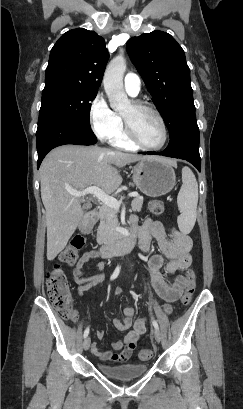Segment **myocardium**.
<instances>
[{"label":"myocardium","instance_id":"f54148a6","mask_svg":"<svg viewBox=\"0 0 243 409\" xmlns=\"http://www.w3.org/2000/svg\"><path fill=\"white\" fill-rule=\"evenodd\" d=\"M132 104V106L136 109H146L148 111H150L159 121L161 128H162V132H163V139L162 142L158 145H148L146 143H144L139 137L138 135L135 133L133 127L131 126V124L129 123V121L123 116V120H124V124H125V133L128 137V139L136 146L147 149V150H160L162 149L168 141V128L166 125V122L163 118V116L160 114V112L154 107L152 106L150 103L140 100V99H134L130 102Z\"/></svg>","mask_w":243,"mask_h":409}]
</instances>
